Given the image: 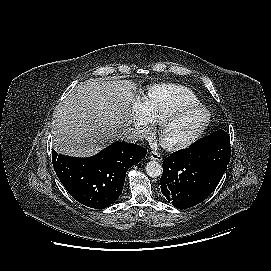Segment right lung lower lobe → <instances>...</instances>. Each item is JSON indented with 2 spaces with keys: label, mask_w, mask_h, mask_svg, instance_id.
I'll use <instances>...</instances> for the list:
<instances>
[{
  "label": "right lung lower lobe",
  "mask_w": 271,
  "mask_h": 271,
  "mask_svg": "<svg viewBox=\"0 0 271 271\" xmlns=\"http://www.w3.org/2000/svg\"><path fill=\"white\" fill-rule=\"evenodd\" d=\"M146 152L139 145L116 142L89 158L59 155L52 150V162L59 180L76 201L102 209L119 198L127 170Z\"/></svg>",
  "instance_id": "obj_1"
}]
</instances>
